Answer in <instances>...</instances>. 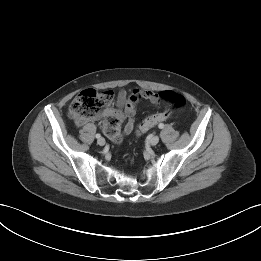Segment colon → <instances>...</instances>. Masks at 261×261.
I'll return each instance as SVG.
<instances>
[{"instance_id":"colon-1","label":"colon","mask_w":261,"mask_h":261,"mask_svg":"<svg viewBox=\"0 0 261 261\" xmlns=\"http://www.w3.org/2000/svg\"><path fill=\"white\" fill-rule=\"evenodd\" d=\"M159 98L165 101L169 108L144 119L137 127L138 133H143L158 122L165 121L170 116L172 110H182L185 106V98L175 92L161 93L159 94ZM112 100L113 92L111 91L83 90L72 101L68 110L69 117L77 125H83L87 121L95 118L104 108H107ZM102 128L105 131L106 137L113 143L119 144L122 142V131L118 119L110 118L103 123Z\"/></svg>"}]
</instances>
